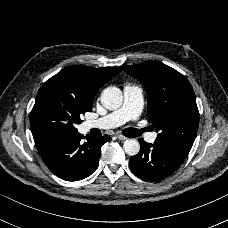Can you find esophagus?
<instances>
[{
  "instance_id": "esophagus-1",
  "label": "esophagus",
  "mask_w": 228,
  "mask_h": 228,
  "mask_svg": "<svg viewBox=\"0 0 228 228\" xmlns=\"http://www.w3.org/2000/svg\"><path fill=\"white\" fill-rule=\"evenodd\" d=\"M117 138H118L119 140H122V141H125V140L128 139L127 137H125V136H123V135H121V134H118V135H117Z\"/></svg>"
}]
</instances>
